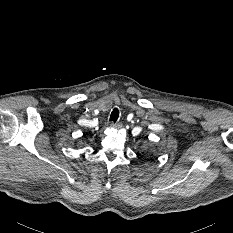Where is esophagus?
I'll list each match as a JSON object with an SVG mask.
<instances>
[{"label": "esophagus", "instance_id": "34e87169", "mask_svg": "<svg viewBox=\"0 0 233 233\" xmlns=\"http://www.w3.org/2000/svg\"><path fill=\"white\" fill-rule=\"evenodd\" d=\"M111 126L116 128V129H120L123 127V124L121 122H118V123H111Z\"/></svg>", "mask_w": 233, "mask_h": 233}]
</instances>
